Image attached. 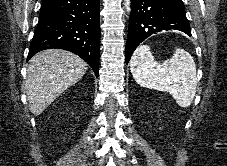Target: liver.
<instances>
[{
    "mask_svg": "<svg viewBox=\"0 0 227 166\" xmlns=\"http://www.w3.org/2000/svg\"><path fill=\"white\" fill-rule=\"evenodd\" d=\"M87 63L69 51L47 49L29 61L25 80L29 109L40 115L67 88L86 73Z\"/></svg>",
    "mask_w": 227,
    "mask_h": 166,
    "instance_id": "6515ba94",
    "label": "liver"
}]
</instances>
